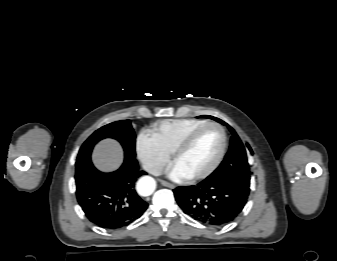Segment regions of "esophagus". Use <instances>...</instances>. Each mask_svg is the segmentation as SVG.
Returning a JSON list of instances; mask_svg holds the SVG:
<instances>
[{"label": "esophagus", "mask_w": 337, "mask_h": 261, "mask_svg": "<svg viewBox=\"0 0 337 261\" xmlns=\"http://www.w3.org/2000/svg\"><path fill=\"white\" fill-rule=\"evenodd\" d=\"M160 183H161L163 186L168 187V188H170V189H174V188L176 187L174 184L169 183V182L164 181V180H160Z\"/></svg>", "instance_id": "34e87169"}]
</instances>
